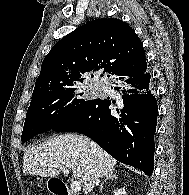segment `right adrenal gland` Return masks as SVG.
I'll return each mask as SVG.
<instances>
[{
    "label": "right adrenal gland",
    "mask_w": 189,
    "mask_h": 195,
    "mask_svg": "<svg viewBox=\"0 0 189 195\" xmlns=\"http://www.w3.org/2000/svg\"><path fill=\"white\" fill-rule=\"evenodd\" d=\"M117 174H115L114 172H110L109 174L106 175L104 181L101 183L100 185V189H99V192L102 193V190H103V186H104V183L107 181V180H110V179H113V178H117Z\"/></svg>",
    "instance_id": "1"
}]
</instances>
